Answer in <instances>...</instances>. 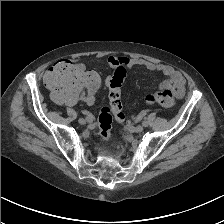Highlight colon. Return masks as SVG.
Returning a JSON list of instances; mask_svg holds the SVG:
<instances>
[{"label": "colon", "mask_w": 224, "mask_h": 224, "mask_svg": "<svg viewBox=\"0 0 224 224\" xmlns=\"http://www.w3.org/2000/svg\"><path fill=\"white\" fill-rule=\"evenodd\" d=\"M126 76L124 68H117L109 80V105L103 106L98 117V136L106 142L111 137L113 117L124 122L121 103V86ZM45 83L54 98L63 104L74 105L82 98L93 94L100 85L99 76L84 67L68 60L56 62L46 73ZM146 100L165 108L175 104V98L170 90L148 94Z\"/></svg>", "instance_id": "1"}]
</instances>
